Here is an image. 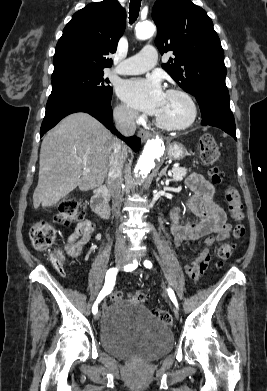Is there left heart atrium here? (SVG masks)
Returning <instances> with one entry per match:
<instances>
[{"instance_id": "obj_1", "label": "left heart atrium", "mask_w": 267, "mask_h": 391, "mask_svg": "<svg viewBox=\"0 0 267 391\" xmlns=\"http://www.w3.org/2000/svg\"><path fill=\"white\" fill-rule=\"evenodd\" d=\"M119 95L133 108L154 115L159 113L165 97L156 77L127 80L120 85Z\"/></svg>"}]
</instances>
